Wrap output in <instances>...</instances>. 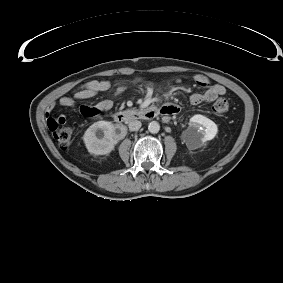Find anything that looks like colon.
Instances as JSON below:
<instances>
[{
    "label": "colon",
    "instance_id": "5ec220e1",
    "mask_svg": "<svg viewBox=\"0 0 283 283\" xmlns=\"http://www.w3.org/2000/svg\"><path fill=\"white\" fill-rule=\"evenodd\" d=\"M230 105L228 101L224 98L217 99L213 104V111L218 115H225L228 113ZM57 143L61 147H67L72 142L73 130L68 126H58L56 125L51 129Z\"/></svg>",
    "mask_w": 283,
    "mask_h": 283
}]
</instances>
